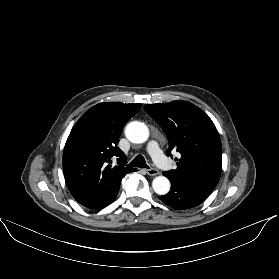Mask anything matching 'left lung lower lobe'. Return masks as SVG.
<instances>
[{"instance_id": "obj_1", "label": "left lung lower lobe", "mask_w": 279, "mask_h": 279, "mask_svg": "<svg viewBox=\"0 0 279 279\" xmlns=\"http://www.w3.org/2000/svg\"><path fill=\"white\" fill-rule=\"evenodd\" d=\"M171 181V190L159 198L168 206L184 210L201 204L209 195L188 186Z\"/></svg>"}]
</instances>
